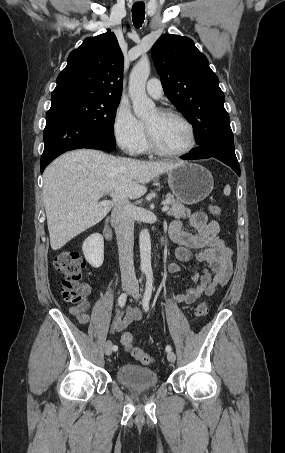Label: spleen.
<instances>
[{
	"instance_id": "obj_1",
	"label": "spleen",
	"mask_w": 285,
	"mask_h": 453,
	"mask_svg": "<svg viewBox=\"0 0 285 453\" xmlns=\"http://www.w3.org/2000/svg\"><path fill=\"white\" fill-rule=\"evenodd\" d=\"M230 193H231V187H230L229 185H226V186L224 187V194H225L226 196H229Z\"/></svg>"
}]
</instances>
